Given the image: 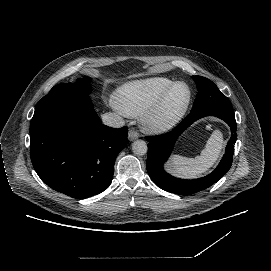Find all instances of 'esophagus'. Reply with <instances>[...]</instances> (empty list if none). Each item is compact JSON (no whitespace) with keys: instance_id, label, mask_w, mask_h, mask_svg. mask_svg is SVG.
Returning a JSON list of instances; mask_svg holds the SVG:
<instances>
[{"instance_id":"1","label":"esophagus","mask_w":271,"mask_h":271,"mask_svg":"<svg viewBox=\"0 0 271 271\" xmlns=\"http://www.w3.org/2000/svg\"><path fill=\"white\" fill-rule=\"evenodd\" d=\"M139 138V133L135 130H129L128 132V139L130 141L136 140Z\"/></svg>"}]
</instances>
